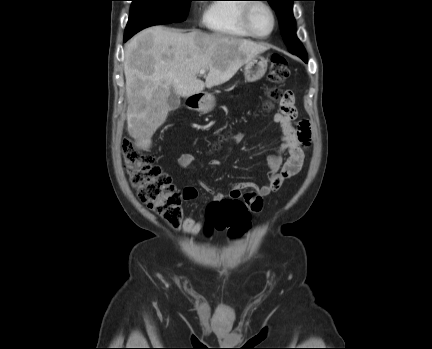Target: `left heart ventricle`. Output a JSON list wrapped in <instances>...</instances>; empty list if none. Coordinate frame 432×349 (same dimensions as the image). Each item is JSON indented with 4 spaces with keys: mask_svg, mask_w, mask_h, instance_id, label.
Instances as JSON below:
<instances>
[{
    "mask_svg": "<svg viewBox=\"0 0 432 349\" xmlns=\"http://www.w3.org/2000/svg\"><path fill=\"white\" fill-rule=\"evenodd\" d=\"M250 20L254 31L260 35H265L271 30L272 17L268 9L264 6H255L251 13Z\"/></svg>",
    "mask_w": 432,
    "mask_h": 349,
    "instance_id": "left-heart-ventricle-1",
    "label": "left heart ventricle"
}]
</instances>
